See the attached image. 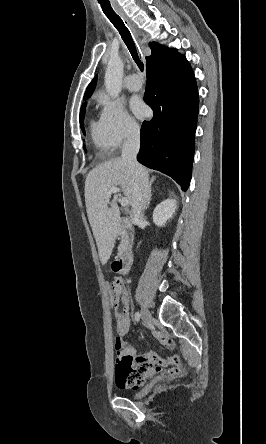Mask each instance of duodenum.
<instances>
[{"label":"duodenum","mask_w":266,"mask_h":444,"mask_svg":"<svg viewBox=\"0 0 266 444\" xmlns=\"http://www.w3.org/2000/svg\"><path fill=\"white\" fill-rule=\"evenodd\" d=\"M132 260L133 253L131 248L128 246L123 248L115 261L117 271L124 275L129 274L131 270Z\"/></svg>","instance_id":"410a0bca"}]
</instances>
